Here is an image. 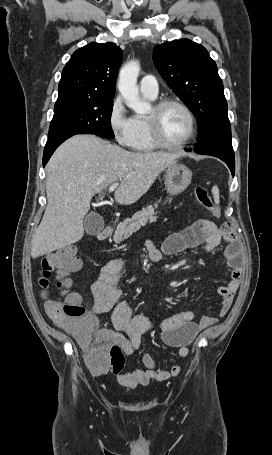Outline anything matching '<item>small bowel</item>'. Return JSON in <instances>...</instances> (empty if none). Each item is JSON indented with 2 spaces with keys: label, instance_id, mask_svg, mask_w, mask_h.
<instances>
[{
  "label": "small bowel",
  "instance_id": "1",
  "mask_svg": "<svg viewBox=\"0 0 272 455\" xmlns=\"http://www.w3.org/2000/svg\"><path fill=\"white\" fill-rule=\"evenodd\" d=\"M222 241L227 242L224 257L230 268L229 282L218 288V294L222 298L218 316L222 317L230 309L243 275L239 246L230 225L224 224L218 227L210 220L199 219L184 229L170 234L162 243L161 249H158L151 240L146 241L144 247L150 260L156 263L161 260L162 254L174 255L199 246L209 254ZM123 265L124 261L121 258L111 260L102 268L98 280L91 287L94 302L89 314L95 318V315L111 312L113 324V329L99 330L98 336L111 344L119 345L126 354H130L133 349L139 347L143 334L158 329L166 345L177 348L180 357L187 356L188 345L201 330L216 323L217 318L205 316L200 322H196L194 313L184 310L156 323L147 316L133 314L128 302L119 301L123 294L119 287ZM188 295L189 290L184 289L178 297L186 298ZM142 360L144 369L114 372L121 385L135 388L139 385H147L151 380L164 381L177 376L180 372L178 365H173L167 370L158 369L149 354H144Z\"/></svg>",
  "mask_w": 272,
  "mask_h": 455
}]
</instances>
